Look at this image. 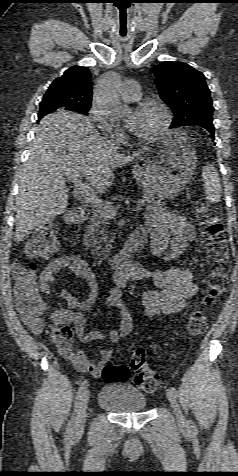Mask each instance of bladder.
<instances>
[{
    "mask_svg": "<svg viewBox=\"0 0 238 476\" xmlns=\"http://www.w3.org/2000/svg\"><path fill=\"white\" fill-rule=\"evenodd\" d=\"M98 405L113 413L128 414L144 411L147 400L144 393L135 386L109 382L99 392Z\"/></svg>",
    "mask_w": 238,
    "mask_h": 476,
    "instance_id": "31cf9c89",
    "label": "bladder"
}]
</instances>
